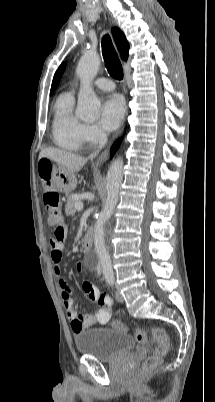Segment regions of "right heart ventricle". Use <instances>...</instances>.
<instances>
[{
  "instance_id": "e07e8e85",
  "label": "right heart ventricle",
  "mask_w": 215,
  "mask_h": 402,
  "mask_svg": "<svg viewBox=\"0 0 215 402\" xmlns=\"http://www.w3.org/2000/svg\"><path fill=\"white\" fill-rule=\"evenodd\" d=\"M82 122L74 113V97L71 92L61 93L55 101L52 138L54 143L65 150L76 151L82 145L80 130Z\"/></svg>"
}]
</instances>
